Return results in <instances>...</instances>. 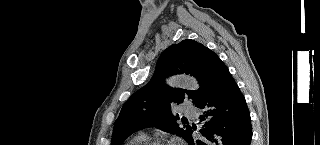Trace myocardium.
Here are the masks:
<instances>
[{
  "label": "myocardium",
  "instance_id": "myocardium-1",
  "mask_svg": "<svg viewBox=\"0 0 320 145\" xmlns=\"http://www.w3.org/2000/svg\"><path fill=\"white\" fill-rule=\"evenodd\" d=\"M142 145H166V143L162 140H150L144 142Z\"/></svg>",
  "mask_w": 320,
  "mask_h": 145
}]
</instances>
